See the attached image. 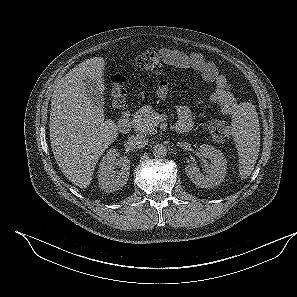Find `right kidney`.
Listing matches in <instances>:
<instances>
[{
	"label": "right kidney",
	"instance_id": "1",
	"mask_svg": "<svg viewBox=\"0 0 297 297\" xmlns=\"http://www.w3.org/2000/svg\"><path fill=\"white\" fill-rule=\"evenodd\" d=\"M121 169L115 171L117 167ZM130 160L127 157L117 158V150L109 149L99 164L98 182L105 192H114L123 187L129 178Z\"/></svg>",
	"mask_w": 297,
	"mask_h": 297
}]
</instances>
